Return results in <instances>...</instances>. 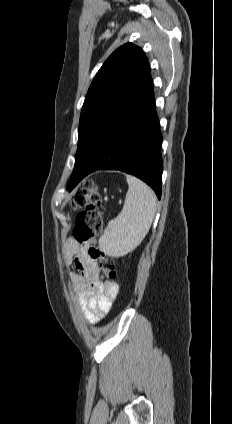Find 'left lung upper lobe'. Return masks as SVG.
Returning <instances> with one entry per match:
<instances>
[{
	"instance_id": "5c2ea615",
	"label": "left lung upper lobe",
	"mask_w": 232,
	"mask_h": 424,
	"mask_svg": "<svg viewBox=\"0 0 232 424\" xmlns=\"http://www.w3.org/2000/svg\"><path fill=\"white\" fill-rule=\"evenodd\" d=\"M149 74L148 59L132 43L119 47L105 61L82 107L72 176L82 174L94 143L148 79Z\"/></svg>"
}]
</instances>
